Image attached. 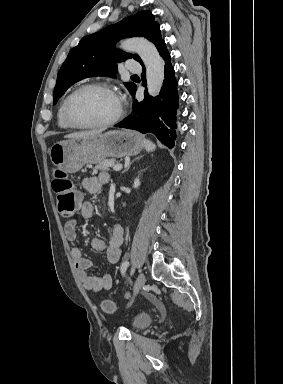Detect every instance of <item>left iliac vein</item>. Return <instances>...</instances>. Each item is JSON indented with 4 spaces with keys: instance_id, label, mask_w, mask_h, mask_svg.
<instances>
[{
    "instance_id": "obj_1",
    "label": "left iliac vein",
    "mask_w": 283,
    "mask_h": 384,
    "mask_svg": "<svg viewBox=\"0 0 283 384\" xmlns=\"http://www.w3.org/2000/svg\"><path fill=\"white\" fill-rule=\"evenodd\" d=\"M144 284H145V276L142 272H140L135 282L134 293L137 294L142 289Z\"/></svg>"
}]
</instances>
